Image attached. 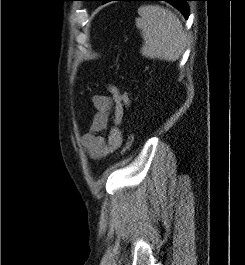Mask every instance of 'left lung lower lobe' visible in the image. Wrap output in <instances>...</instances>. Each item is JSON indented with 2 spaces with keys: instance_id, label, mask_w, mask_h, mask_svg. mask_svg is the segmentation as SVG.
I'll use <instances>...</instances> for the list:
<instances>
[{
  "instance_id": "1",
  "label": "left lung lower lobe",
  "mask_w": 245,
  "mask_h": 265,
  "mask_svg": "<svg viewBox=\"0 0 245 265\" xmlns=\"http://www.w3.org/2000/svg\"><path fill=\"white\" fill-rule=\"evenodd\" d=\"M110 1H166L177 7L184 14V16L188 18L189 11L186 2L193 0H105L103 1V3H107Z\"/></svg>"
}]
</instances>
